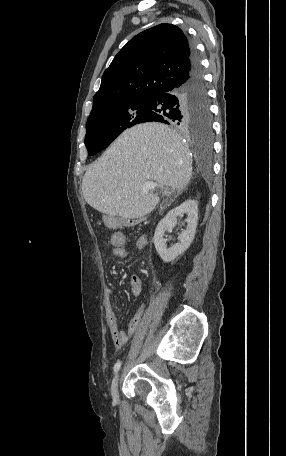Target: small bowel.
I'll return each instance as SVG.
<instances>
[{"mask_svg": "<svg viewBox=\"0 0 286 456\" xmlns=\"http://www.w3.org/2000/svg\"><path fill=\"white\" fill-rule=\"evenodd\" d=\"M148 239L145 235L139 236L135 241V249L138 251L143 250L147 245ZM110 250L111 254L118 259H124L127 256V251L125 249V235L122 232H115L110 238ZM131 292L135 296L142 294V281L138 275H133L130 280ZM107 295H112V290L107 291ZM146 304L145 302L141 303L137 309V312L130 320L128 325V330L124 331L119 328L118 319L114 312L113 306L109 300L105 303V318L108 331L111 335L113 343L116 348H122L128 341L130 335H132L138 328Z\"/></svg>", "mask_w": 286, "mask_h": 456, "instance_id": "small-bowel-1", "label": "small bowel"}]
</instances>
